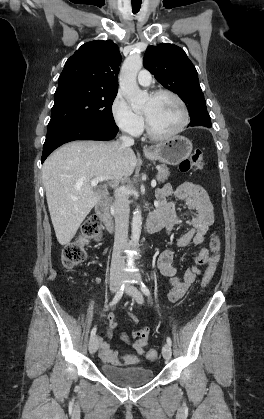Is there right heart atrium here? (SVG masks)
Listing matches in <instances>:
<instances>
[{"label": "right heart atrium", "mask_w": 264, "mask_h": 419, "mask_svg": "<svg viewBox=\"0 0 264 419\" xmlns=\"http://www.w3.org/2000/svg\"><path fill=\"white\" fill-rule=\"evenodd\" d=\"M111 114L115 124L123 132L137 136L144 127L142 116L133 111L122 93L118 92L111 103Z\"/></svg>", "instance_id": "d8ad5b80"}]
</instances>
